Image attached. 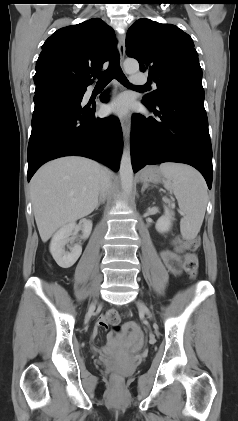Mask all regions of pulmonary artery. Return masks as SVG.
I'll return each instance as SVG.
<instances>
[{
  "instance_id": "obj_1",
  "label": "pulmonary artery",
  "mask_w": 238,
  "mask_h": 421,
  "mask_svg": "<svg viewBox=\"0 0 238 421\" xmlns=\"http://www.w3.org/2000/svg\"><path fill=\"white\" fill-rule=\"evenodd\" d=\"M131 80L134 84H137V85H142L147 82V79L141 74L132 75Z\"/></svg>"
}]
</instances>
